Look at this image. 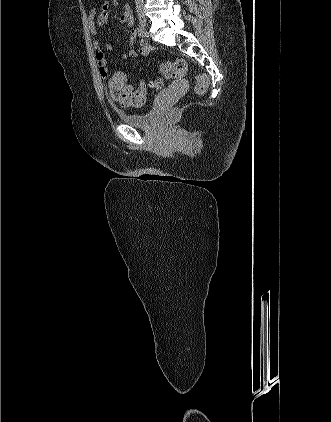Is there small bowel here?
<instances>
[{"instance_id":"obj_1","label":"small bowel","mask_w":331,"mask_h":422,"mask_svg":"<svg viewBox=\"0 0 331 422\" xmlns=\"http://www.w3.org/2000/svg\"><path fill=\"white\" fill-rule=\"evenodd\" d=\"M109 0H105L101 3L99 8H93L88 16V25L90 31L93 35H97L98 30L106 27L108 18H109ZM120 22L124 24L129 33V42L132 46L138 30L135 28L134 19L132 12L128 6H125L123 13L120 16ZM93 47L95 50V58L98 66V71L102 79L110 80L111 74L107 66V60L105 56V51H111L113 49L111 44H105L104 46L100 43L99 40H94ZM150 52V45L146 40H141L139 43L138 50L130 47L124 54H122L123 59L135 58L138 55L147 56ZM122 105L130 106L129 103L120 102Z\"/></svg>"}]
</instances>
